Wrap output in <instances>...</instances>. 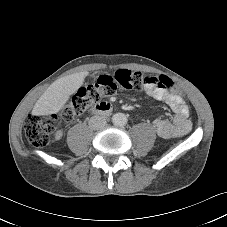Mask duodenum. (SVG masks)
<instances>
[{"label": "duodenum", "instance_id": "duodenum-1", "mask_svg": "<svg viewBox=\"0 0 227 227\" xmlns=\"http://www.w3.org/2000/svg\"><path fill=\"white\" fill-rule=\"evenodd\" d=\"M111 111V105L106 102L99 103L92 109V113L98 115H108L111 113Z\"/></svg>", "mask_w": 227, "mask_h": 227}]
</instances>
